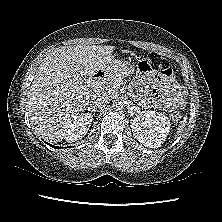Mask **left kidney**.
<instances>
[{
    "mask_svg": "<svg viewBox=\"0 0 222 222\" xmlns=\"http://www.w3.org/2000/svg\"><path fill=\"white\" fill-rule=\"evenodd\" d=\"M134 137L149 148L160 147L170 131V120L156 111H142L131 122Z\"/></svg>",
    "mask_w": 222,
    "mask_h": 222,
    "instance_id": "5707ae66",
    "label": "left kidney"
}]
</instances>
